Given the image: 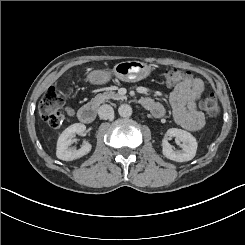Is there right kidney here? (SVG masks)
<instances>
[{"mask_svg": "<svg viewBox=\"0 0 245 245\" xmlns=\"http://www.w3.org/2000/svg\"><path fill=\"white\" fill-rule=\"evenodd\" d=\"M86 130V126L81 123H75L67 127L59 136L57 141L56 156L64 161H72L88 154L91 150V144L84 142L80 149L70 147L72 138L75 134L81 135Z\"/></svg>", "mask_w": 245, "mask_h": 245, "instance_id": "right-kidney-1", "label": "right kidney"}]
</instances>
